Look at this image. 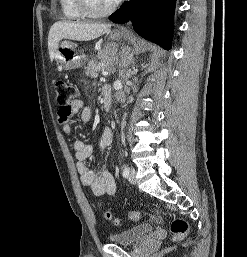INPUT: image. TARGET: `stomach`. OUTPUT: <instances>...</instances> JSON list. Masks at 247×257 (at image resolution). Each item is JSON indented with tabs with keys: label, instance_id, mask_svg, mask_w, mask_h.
Returning <instances> with one entry per match:
<instances>
[{
	"label": "stomach",
	"instance_id": "obj_1",
	"mask_svg": "<svg viewBox=\"0 0 247 257\" xmlns=\"http://www.w3.org/2000/svg\"><path fill=\"white\" fill-rule=\"evenodd\" d=\"M109 39L111 42L101 50V57H107L120 66H127L132 61L131 50L124 45L127 35L123 32L111 31ZM120 44L122 46L118 49ZM108 51H112L110 56H108ZM56 59L66 70L79 68L85 61V57L78 53L77 45L70 41H63L58 45Z\"/></svg>",
	"mask_w": 247,
	"mask_h": 257
}]
</instances>
